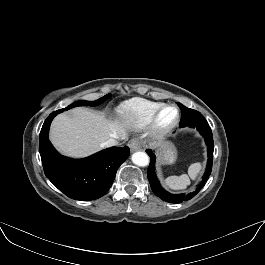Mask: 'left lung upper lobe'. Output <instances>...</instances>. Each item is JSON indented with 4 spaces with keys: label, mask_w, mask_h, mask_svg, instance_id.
Segmentation results:
<instances>
[{
    "label": "left lung upper lobe",
    "mask_w": 265,
    "mask_h": 265,
    "mask_svg": "<svg viewBox=\"0 0 265 265\" xmlns=\"http://www.w3.org/2000/svg\"><path fill=\"white\" fill-rule=\"evenodd\" d=\"M177 104L180 107L181 112H182L179 127L186 126L189 123H191L197 119L204 118L200 112L193 110V109H190V108H187L179 102Z\"/></svg>",
    "instance_id": "5c2ea615"
}]
</instances>
